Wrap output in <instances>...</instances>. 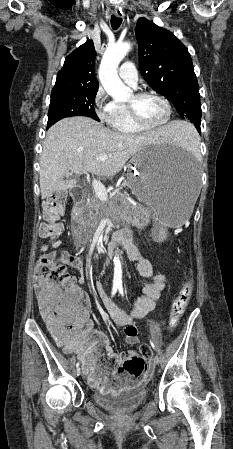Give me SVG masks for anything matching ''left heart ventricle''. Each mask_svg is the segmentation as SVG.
<instances>
[{
	"label": "left heart ventricle",
	"mask_w": 233,
	"mask_h": 449,
	"mask_svg": "<svg viewBox=\"0 0 233 449\" xmlns=\"http://www.w3.org/2000/svg\"><path fill=\"white\" fill-rule=\"evenodd\" d=\"M132 100L133 96H130L127 103ZM137 111L141 119L148 124L160 123L166 116L165 104L154 96H145L138 100Z\"/></svg>",
	"instance_id": "left-heart-ventricle-1"
}]
</instances>
